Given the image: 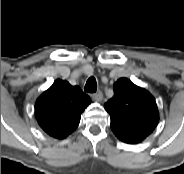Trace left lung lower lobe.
<instances>
[{"label": "left lung lower lobe", "mask_w": 184, "mask_h": 174, "mask_svg": "<svg viewBox=\"0 0 184 174\" xmlns=\"http://www.w3.org/2000/svg\"><path fill=\"white\" fill-rule=\"evenodd\" d=\"M122 142H125V143H129V144H135V143H139L135 140H132V139H120Z\"/></svg>", "instance_id": "0a47b994"}]
</instances>
